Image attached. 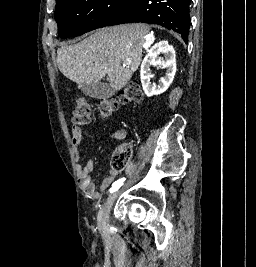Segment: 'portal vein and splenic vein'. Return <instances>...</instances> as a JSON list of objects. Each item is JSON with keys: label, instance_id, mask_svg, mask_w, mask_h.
Wrapping results in <instances>:
<instances>
[{"label": "portal vein and splenic vein", "instance_id": "18ae733b", "mask_svg": "<svg viewBox=\"0 0 256 267\" xmlns=\"http://www.w3.org/2000/svg\"><path fill=\"white\" fill-rule=\"evenodd\" d=\"M123 66H126V64H123ZM127 68H129V66H127Z\"/></svg>", "mask_w": 256, "mask_h": 267}]
</instances>
